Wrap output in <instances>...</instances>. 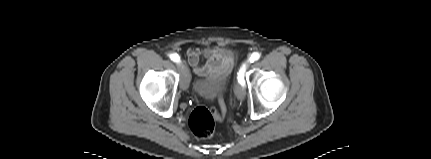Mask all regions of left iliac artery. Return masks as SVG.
Here are the masks:
<instances>
[{
    "label": "left iliac artery",
    "instance_id": "1",
    "mask_svg": "<svg viewBox=\"0 0 431 159\" xmlns=\"http://www.w3.org/2000/svg\"><path fill=\"white\" fill-rule=\"evenodd\" d=\"M259 58H260V54H259L258 52H254V53L250 56L249 61H250L251 63H253L254 61H257ZM244 72H245V66L243 65V67L239 70L238 77H237L238 82H239L242 86H245Z\"/></svg>",
    "mask_w": 431,
    "mask_h": 159
}]
</instances>
